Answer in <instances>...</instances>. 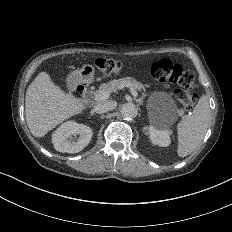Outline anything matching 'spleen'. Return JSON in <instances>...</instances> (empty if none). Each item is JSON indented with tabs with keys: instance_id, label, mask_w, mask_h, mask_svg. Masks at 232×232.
<instances>
[{
	"instance_id": "obj_1",
	"label": "spleen",
	"mask_w": 232,
	"mask_h": 232,
	"mask_svg": "<svg viewBox=\"0 0 232 232\" xmlns=\"http://www.w3.org/2000/svg\"><path fill=\"white\" fill-rule=\"evenodd\" d=\"M210 119L209 97L203 94L192 113L182 116L177 124V155L179 157H186L199 146L207 132Z\"/></svg>"
}]
</instances>
